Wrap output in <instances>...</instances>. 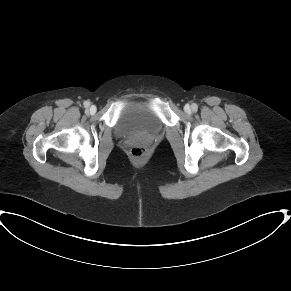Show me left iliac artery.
<instances>
[{"label": "left iliac artery", "mask_w": 291, "mask_h": 291, "mask_svg": "<svg viewBox=\"0 0 291 291\" xmlns=\"http://www.w3.org/2000/svg\"><path fill=\"white\" fill-rule=\"evenodd\" d=\"M191 108H192L193 111H197L198 110V106L195 103L192 104Z\"/></svg>", "instance_id": "1"}]
</instances>
